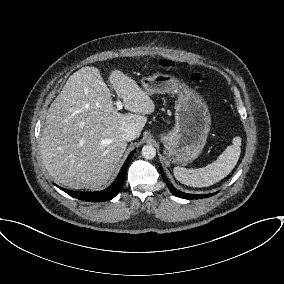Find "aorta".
Listing matches in <instances>:
<instances>
[{
	"instance_id": "762f6f07",
	"label": "aorta",
	"mask_w": 284,
	"mask_h": 284,
	"mask_svg": "<svg viewBox=\"0 0 284 284\" xmlns=\"http://www.w3.org/2000/svg\"><path fill=\"white\" fill-rule=\"evenodd\" d=\"M141 154L145 159H153L156 155V149L152 145H145L142 148Z\"/></svg>"
}]
</instances>
